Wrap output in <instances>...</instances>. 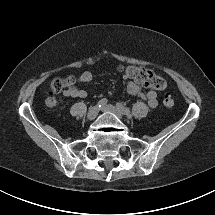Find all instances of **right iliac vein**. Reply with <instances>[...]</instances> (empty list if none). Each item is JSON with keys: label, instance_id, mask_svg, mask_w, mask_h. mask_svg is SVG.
Masks as SVG:
<instances>
[{"label": "right iliac vein", "instance_id": "63e3f726", "mask_svg": "<svg viewBox=\"0 0 215 215\" xmlns=\"http://www.w3.org/2000/svg\"><path fill=\"white\" fill-rule=\"evenodd\" d=\"M98 112H99L98 106H92L88 111L87 118L89 120H93L97 116Z\"/></svg>", "mask_w": 215, "mask_h": 215}]
</instances>
